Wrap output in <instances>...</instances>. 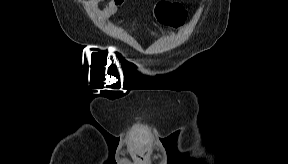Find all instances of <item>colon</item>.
Segmentation results:
<instances>
[{
  "label": "colon",
  "mask_w": 288,
  "mask_h": 164,
  "mask_svg": "<svg viewBox=\"0 0 288 164\" xmlns=\"http://www.w3.org/2000/svg\"><path fill=\"white\" fill-rule=\"evenodd\" d=\"M156 17L159 23L172 28H180L186 22L185 11L179 4L160 3L156 8Z\"/></svg>",
  "instance_id": "obj_1"
}]
</instances>
